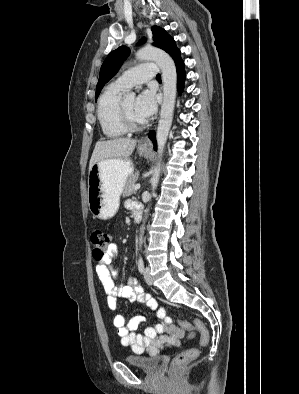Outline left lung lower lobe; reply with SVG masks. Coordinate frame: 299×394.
I'll return each instance as SVG.
<instances>
[{"mask_svg": "<svg viewBox=\"0 0 299 394\" xmlns=\"http://www.w3.org/2000/svg\"><path fill=\"white\" fill-rule=\"evenodd\" d=\"M175 64H176V70H177V87L179 92H181L183 90V84H184V80H185V70H184V62L181 59V54H180V50H178L174 56H172ZM149 137L151 140L154 141L155 138V133L154 131H151L149 133ZM157 146H156V142L154 141V149L156 150Z\"/></svg>", "mask_w": 299, "mask_h": 394, "instance_id": "obj_1", "label": "left lung lower lobe"}]
</instances>
